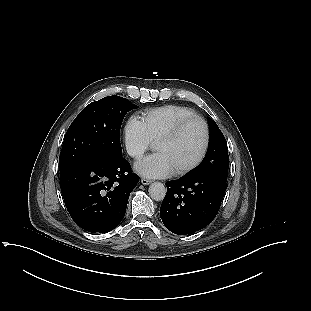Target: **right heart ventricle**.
<instances>
[{"label":"right heart ventricle","mask_w":311,"mask_h":311,"mask_svg":"<svg viewBox=\"0 0 311 311\" xmlns=\"http://www.w3.org/2000/svg\"><path fill=\"white\" fill-rule=\"evenodd\" d=\"M191 116L197 115L188 107L180 105H165L144 111L141 120L153 142L178 121Z\"/></svg>","instance_id":"right-heart-ventricle-1"}]
</instances>
